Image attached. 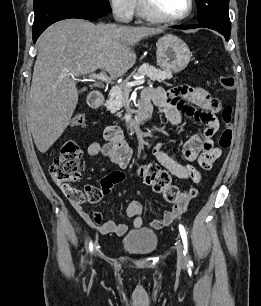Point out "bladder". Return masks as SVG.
I'll return each instance as SVG.
<instances>
[{"label":"bladder","mask_w":261,"mask_h":306,"mask_svg":"<svg viewBox=\"0 0 261 306\" xmlns=\"http://www.w3.org/2000/svg\"><path fill=\"white\" fill-rule=\"evenodd\" d=\"M121 245L128 253L134 255H148L156 250L158 237L151 229H135L129 231L122 238Z\"/></svg>","instance_id":"1"}]
</instances>
